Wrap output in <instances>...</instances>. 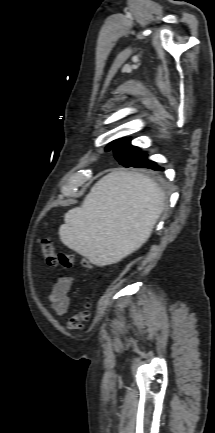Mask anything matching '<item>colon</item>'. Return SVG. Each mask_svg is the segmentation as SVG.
<instances>
[{
    "instance_id": "1",
    "label": "colon",
    "mask_w": 215,
    "mask_h": 433,
    "mask_svg": "<svg viewBox=\"0 0 215 433\" xmlns=\"http://www.w3.org/2000/svg\"><path fill=\"white\" fill-rule=\"evenodd\" d=\"M42 253L48 265L53 267L70 268L73 266L75 256L73 253L57 252L53 242L44 238L42 240ZM82 265L87 267L89 263L83 261ZM91 316V302L87 301L84 307L67 320V328L71 331L82 330Z\"/></svg>"
}]
</instances>
